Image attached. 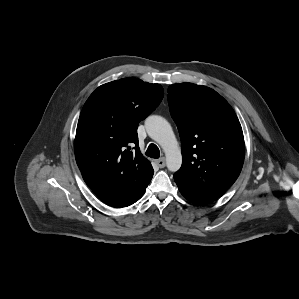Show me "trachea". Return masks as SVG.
<instances>
[{
  "instance_id": "3493384b",
  "label": "trachea",
  "mask_w": 299,
  "mask_h": 299,
  "mask_svg": "<svg viewBox=\"0 0 299 299\" xmlns=\"http://www.w3.org/2000/svg\"><path fill=\"white\" fill-rule=\"evenodd\" d=\"M147 156L151 158H159L160 157V151L159 148L155 144H150L146 150L145 153Z\"/></svg>"
}]
</instances>
